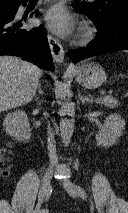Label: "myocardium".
<instances>
[{"label":"myocardium","instance_id":"obj_1","mask_svg":"<svg viewBox=\"0 0 128 213\" xmlns=\"http://www.w3.org/2000/svg\"><path fill=\"white\" fill-rule=\"evenodd\" d=\"M95 30L92 26L85 24L82 26L79 34V43L86 44L93 39Z\"/></svg>","mask_w":128,"mask_h":213}]
</instances>
